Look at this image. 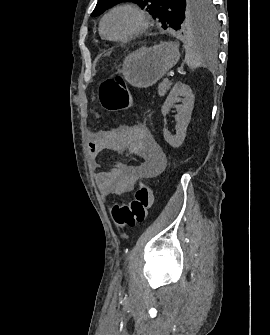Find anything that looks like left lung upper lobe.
<instances>
[{
  "label": "left lung upper lobe",
  "instance_id": "1",
  "mask_svg": "<svg viewBox=\"0 0 270 335\" xmlns=\"http://www.w3.org/2000/svg\"><path fill=\"white\" fill-rule=\"evenodd\" d=\"M129 1L157 18L164 29L181 32L213 30L216 25V10L213 0H98L91 16H98L111 6Z\"/></svg>",
  "mask_w": 270,
  "mask_h": 335
}]
</instances>
